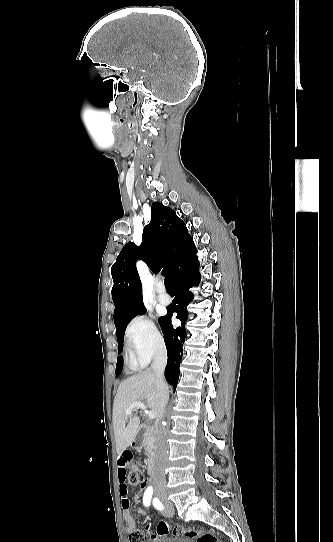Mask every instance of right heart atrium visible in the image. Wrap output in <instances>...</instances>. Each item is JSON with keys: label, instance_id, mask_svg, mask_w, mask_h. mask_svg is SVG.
Listing matches in <instances>:
<instances>
[{"label": "right heart atrium", "instance_id": "obj_1", "mask_svg": "<svg viewBox=\"0 0 333 542\" xmlns=\"http://www.w3.org/2000/svg\"><path fill=\"white\" fill-rule=\"evenodd\" d=\"M128 347H136L147 358H152L164 348L163 334L156 321L148 315L134 318L125 331Z\"/></svg>", "mask_w": 333, "mask_h": 542}]
</instances>
